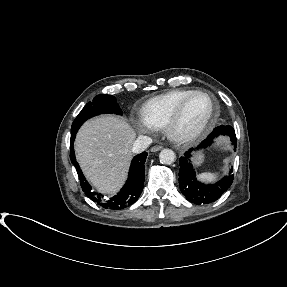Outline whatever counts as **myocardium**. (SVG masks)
Returning <instances> with one entry per match:
<instances>
[{"mask_svg":"<svg viewBox=\"0 0 287 287\" xmlns=\"http://www.w3.org/2000/svg\"><path fill=\"white\" fill-rule=\"evenodd\" d=\"M195 96L206 97L210 101L211 109L200 126L192 130L182 131L180 129V122L182 120L184 110L189 101ZM218 112V104L210 94L204 91H193L180 102L163 127L167 136L171 140L177 143H189L204 136L212 128L218 117Z\"/></svg>","mask_w":287,"mask_h":287,"instance_id":"1","label":"myocardium"}]
</instances>
